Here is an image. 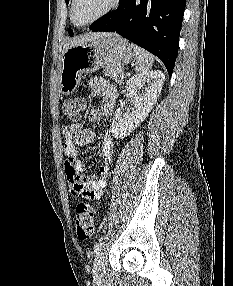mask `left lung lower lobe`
<instances>
[{
	"mask_svg": "<svg viewBox=\"0 0 233 286\" xmlns=\"http://www.w3.org/2000/svg\"><path fill=\"white\" fill-rule=\"evenodd\" d=\"M186 0H120L90 26L92 31H116L159 57L172 75L178 54Z\"/></svg>",
	"mask_w": 233,
	"mask_h": 286,
	"instance_id": "1",
	"label": "left lung lower lobe"
}]
</instances>
